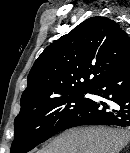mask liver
Segmentation results:
<instances>
[{"label": "liver", "mask_w": 130, "mask_h": 153, "mask_svg": "<svg viewBox=\"0 0 130 153\" xmlns=\"http://www.w3.org/2000/svg\"><path fill=\"white\" fill-rule=\"evenodd\" d=\"M130 141V131L85 126L68 129L37 153H119Z\"/></svg>", "instance_id": "obj_1"}]
</instances>
